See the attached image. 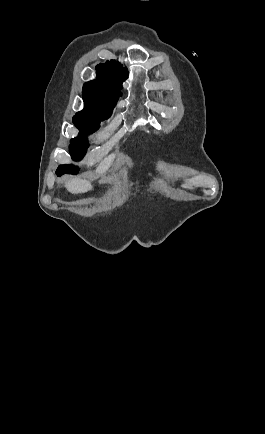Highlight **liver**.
<instances>
[{"label":"liver","instance_id":"1","mask_svg":"<svg viewBox=\"0 0 265 434\" xmlns=\"http://www.w3.org/2000/svg\"><path fill=\"white\" fill-rule=\"evenodd\" d=\"M65 188L68 192H71V194H84V192L92 190L91 182L81 180V178H70V180H66Z\"/></svg>","mask_w":265,"mask_h":434}]
</instances>
